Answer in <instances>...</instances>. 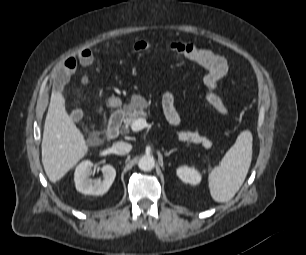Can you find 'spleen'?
<instances>
[{
  "label": "spleen",
  "instance_id": "spleen-1",
  "mask_svg": "<svg viewBox=\"0 0 306 255\" xmlns=\"http://www.w3.org/2000/svg\"><path fill=\"white\" fill-rule=\"evenodd\" d=\"M252 141L251 132L242 131L220 165L209 172L208 184L214 201L228 202L242 186L252 160Z\"/></svg>",
  "mask_w": 306,
  "mask_h": 255
}]
</instances>
